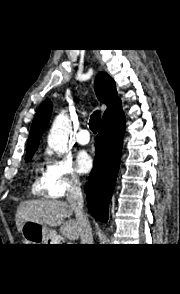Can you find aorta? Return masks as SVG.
Listing matches in <instances>:
<instances>
[{
    "label": "aorta",
    "instance_id": "762f6f07",
    "mask_svg": "<svg viewBox=\"0 0 180 294\" xmlns=\"http://www.w3.org/2000/svg\"><path fill=\"white\" fill-rule=\"evenodd\" d=\"M71 128V121L66 112H61L56 116L48 135L49 147L58 154L65 153L68 149L67 144Z\"/></svg>",
    "mask_w": 180,
    "mask_h": 294
}]
</instances>
